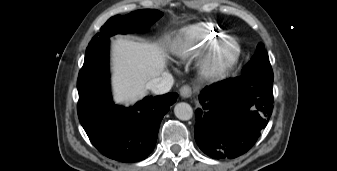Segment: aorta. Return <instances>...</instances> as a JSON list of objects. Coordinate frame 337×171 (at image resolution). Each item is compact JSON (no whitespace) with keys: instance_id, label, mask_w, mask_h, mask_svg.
Listing matches in <instances>:
<instances>
[{"instance_id":"762f6f07","label":"aorta","mask_w":337,"mask_h":171,"mask_svg":"<svg viewBox=\"0 0 337 171\" xmlns=\"http://www.w3.org/2000/svg\"><path fill=\"white\" fill-rule=\"evenodd\" d=\"M174 114L178 119L187 121L192 118L193 109L188 103L181 102L175 105Z\"/></svg>"}]
</instances>
